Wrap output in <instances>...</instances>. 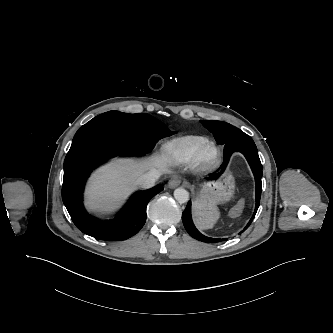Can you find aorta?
I'll return each instance as SVG.
<instances>
[{"mask_svg": "<svg viewBox=\"0 0 333 333\" xmlns=\"http://www.w3.org/2000/svg\"><path fill=\"white\" fill-rule=\"evenodd\" d=\"M174 198L179 203H186L189 200V193L186 189L179 187L174 190Z\"/></svg>", "mask_w": 333, "mask_h": 333, "instance_id": "obj_1", "label": "aorta"}]
</instances>
